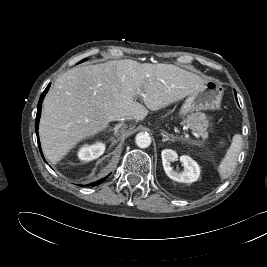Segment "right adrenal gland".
I'll return each instance as SVG.
<instances>
[{"label": "right adrenal gland", "mask_w": 267, "mask_h": 267, "mask_svg": "<svg viewBox=\"0 0 267 267\" xmlns=\"http://www.w3.org/2000/svg\"><path fill=\"white\" fill-rule=\"evenodd\" d=\"M122 126H124V123H119V124H117V125H115V127H110L109 128V131H114V135H116L117 134V132H118V129L120 128V127H122Z\"/></svg>", "instance_id": "right-adrenal-gland-1"}]
</instances>
